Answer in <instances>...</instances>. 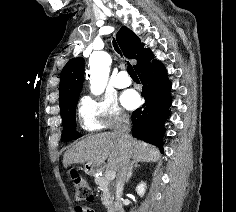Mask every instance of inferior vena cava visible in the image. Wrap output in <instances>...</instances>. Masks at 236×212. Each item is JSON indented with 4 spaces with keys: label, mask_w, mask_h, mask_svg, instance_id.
I'll return each instance as SVG.
<instances>
[{
    "label": "inferior vena cava",
    "mask_w": 236,
    "mask_h": 212,
    "mask_svg": "<svg viewBox=\"0 0 236 212\" xmlns=\"http://www.w3.org/2000/svg\"><path fill=\"white\" fill-rule=\"evenodd\" d=\"M130 132V121L126 115H120L114 133L119 137L122 153L116 176V199L119 201L130 169V155L127 149V138Z\"/></svg>",
    "instance_id": "obj_1"
}]
</instances>
